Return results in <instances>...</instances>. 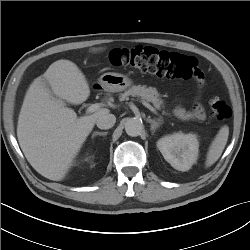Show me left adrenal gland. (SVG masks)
I'll list each match as a JSON object with an SVG mask.
<instances>
[{
    "instance_id": "1",
    "label": "left adrenal gland",
    "mask_w": 250,
    "mask_h": 250,
    "mask_svg": "<svg viewBox=\"0 0 250 250\" xmlns=\"http://www.w3.org/2000/svg\"><path fill=\"white\" fill-rule=\"evenodd\" d=\"M161 119V117L158 120L151 119L150 117L147 119V121L151 124L152 134H154L155 130L160 126V124H162Z\"/></svg>"
}]
</instances>
